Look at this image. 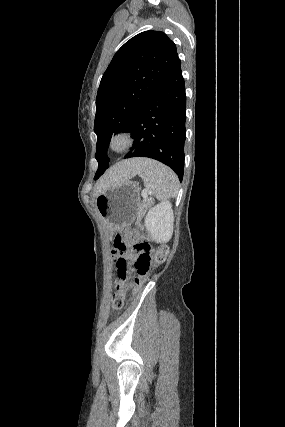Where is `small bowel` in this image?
<instances>
[{"instance_id": "obj_1", "label": "small bowel", "mask_w": 285, "mask_h": 427, "mask_svg": "<svg viewBox=\"0 0 285 427\" xmlns=\"http://www.w3.org/2000/svg\"><path fill=\"white\" fill-rule=\"evenodd\" d=\"M127 258V256L126 255H121V256H118L117 258H116V260L118 261H120V260H125Z\"/></svg>"}]
</instances>
